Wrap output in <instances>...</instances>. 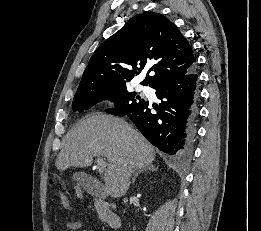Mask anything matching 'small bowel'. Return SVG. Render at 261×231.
Segmentation results:
<instances>
[{
	"label": "small bowel",
	"instance_id": "small-bowel-1",
	"mask_svg": "<svg viewBox=\"0 0 261 231\" xmlns=\"http://www.w3.org/2000/svg\"><path fill=\"white\" fill-rule=\"evenodd\" d=\"M59 203L64 210H67L70 212L73 211V205H72L71 201L68 198H66L65 196L60 197ZM80 227H81V224L78 221L69 222V223H67L66 229L64 231H79ZM83 231H92V230H83Z\"/></svg>",
	"mask_w": 261,
	"mask_h": 231
}]
</instances>
